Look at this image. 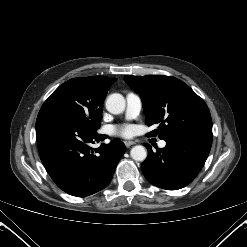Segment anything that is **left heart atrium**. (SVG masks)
<instances>
[{"instance_id": "left-heart-atrium-1", "label": "left heart atrium", "mask_w": 247, "mask_h": 247, "mask_svg": "<svg viewBox=\"0 0 247 247\" xmlns=\"http://www.w3.org/2000/svg\"><path fill=\"white\" fill-rule=\"evenodd\" d=\"M112 132L115 135L128 136L131 132V129L129 126H120L113 128Z\"/></svg>"}]
</instances>
